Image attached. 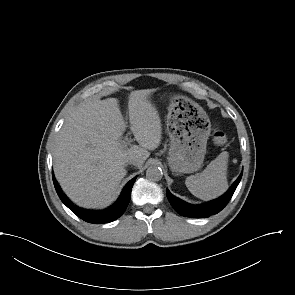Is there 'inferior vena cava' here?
Returning <instances> with one entry per match:
<instances>
[{"label":"inferior vena cava","mask_w":295,"mask_h":295,"mask_svg":"<svg viewBox=\"0 0 295 295\" xmlns=\"http://www.w3.org/2000/svg\"><path fill=\"white\" fill-rule=\"evenodd\" d=\"M141 162L140 158L135 154H129L127 157V163L137 166Z\"/></svg>","instance_id":"obj_1"}]
</instances>
